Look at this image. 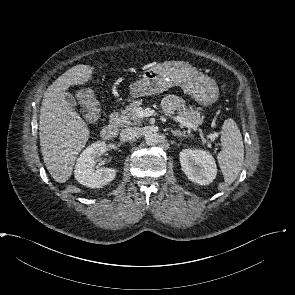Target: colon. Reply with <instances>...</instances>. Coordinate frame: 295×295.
<instances>
[{
	"label": "colon",
	"mask_w": 295,
	"mask_h": 295,
	"mask_svg": "<svg viewBox=\"0 0 295 295\" xmlns=\"http://www.w3.org/2000/svg\"><path fill=\"white\" fill-rule=\"evenodd\" d=\"M98 107L94 104V99L91 95L86 98L85 118L88 122H93L97 119Z\"/></svg>",
	"instance_id": "5ec220e1"
}]
</instances>
